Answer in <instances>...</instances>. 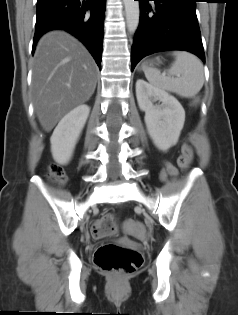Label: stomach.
Wrapping results in <instances>:
<instances>
[{
	"instance_id": "1",
	"label": "stomach",
	"mask_w": 238,
	"mask_h": 315,
	"mask_svg": "<svg viewBox=\"0 0 238 315\" xmlns=\"http://www.w3.org/2000/svg\"><path fill=\"white\" fill-rule=\"evenodd\" d=\"M156 60H157V62L159 63V59L157 58ZM148 64H149V66H151V65H153V62H149V63L146 62V63L143 64V66L148 67Z\"/></svg>"
}]
</instances>
